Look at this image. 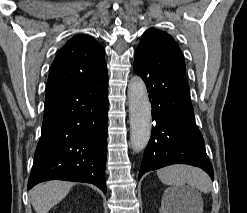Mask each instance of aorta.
I'll return each mask as SVG.
<instances>
[{
	"instance_id": "1",
	"label": "aorta",
	"mask_w": 247,
	"mask_h": 213,
	"mask_svg": "<svg viewBox=\"0 0 247 213\" xmlns=\"http://www.w3.org/2000/svg\"><path fill=\"white\" fill-rule=\"evenodd\" d=\"M130 139L136 152L143 150L151 135V104L144 81L135 76L128 85Z\"/></svg>"
}]
</instances>
